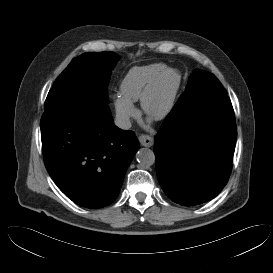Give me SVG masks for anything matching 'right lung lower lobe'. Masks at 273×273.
<instances>
[{
	"label": "right lung lower lobe",
	"instance_id": "right-lung-lower-lobe-1",
	"mask_svg": "<svg viewBox=\"0 0 273 273\" xmlns=\"http://www.w3.org/2000/svg\"><path fill=\"white\" fill-rule=\"evenodd\" d=\"M46 169L76 204L102 208L119 194L139 149L133 131L114 125L107 103L92 96L58 102L41 118Z\"/></svg>",
	"mask_w": 273,
	"mask_h": 273
}]
</instances>
